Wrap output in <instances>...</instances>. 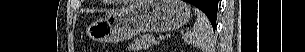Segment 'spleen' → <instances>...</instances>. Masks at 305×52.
Returning a JSON list of instances; mask_svg holds the SVG:
<instances>
[{
  "mask_svg": "<svg viewBox=\"0 0 305 52\" xmlns=\"http://www.w3.org/2000/svg\"><path fill=\"white\" fill-rule=\"evenodd\" d=\"M197 21L194 24L193 30L186 32L182 38L185 42L200 48L203 52H211L214 44L213 30L207 16L195 8Z\"/></svg>",
  "mask_w": 305,
  "mask_h": 52,
  "instance_id": "1",
  "label": "spleen"
}]
</instances>
